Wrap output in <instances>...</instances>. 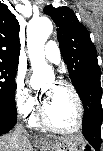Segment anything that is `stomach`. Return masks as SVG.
<instances>
[{
  "mask_svg": "<svg viewBox=\"0 0 103 151\" xmlns=\"http://www.w3.org/2000/svg\"><path fill=\"white\" fill-rule=\"evenodd\" d=\"M43 145L48 151H84L87 149L84 140L78 136L46 141Z\"/></svg>",
  "mask_w": 103,
  "mask_h": 151,
  "instance_id": "obj_1",
  "label": "stomach"
}]
</instances>
